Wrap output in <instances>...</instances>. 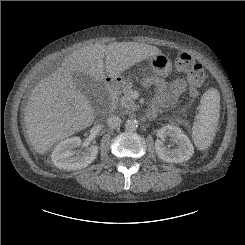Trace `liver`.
Here are the masks:
<instances>
[{
  "label": "liver",
  "mask_w": 245,
  "mask_h": 245,
  "mask_svg": "<svg viewBox=\"0 0 245 245\" xmlns=\"http://www.w3.org/2000/svg\"><path fill=\"white\" fill-rule=\"evenodd\" d=\"M160 53L157 47L138 42L95 43L75 50L29 97L24 121L35 151L44 154L54 144L94 122V109L88 97L77 89L74 72L85 73L100 83L105 73L117 78L125 70Z\"/></svg>",
  "instance_id": "liver-1"
}]
</instances>
